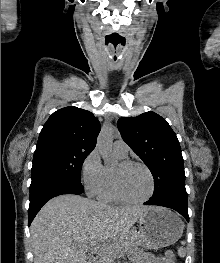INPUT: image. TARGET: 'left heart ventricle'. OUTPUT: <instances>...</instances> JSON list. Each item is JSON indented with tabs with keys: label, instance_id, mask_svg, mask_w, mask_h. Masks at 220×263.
Wrapping results in <instances>:
<instances>
[{
	"label": "left heart ventricle",
	"instance_id": "obj_1",
	"mask_svg": "<svg viewBox=\"0 0 220 263\" xmlns=\"http://www.w3.org/2000/svg\"><path fill=\"white\" fill-rule=\"evenodd\" d=\"M114 169L119 175L121 191L127 198L137 200L148 195L151 183L145 169L137 165L121 167L120 164Z\"/></svg>",
	"mask_w": 220,
	"mask_h": 263
}]
</instances>
